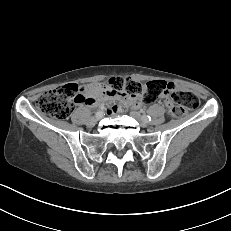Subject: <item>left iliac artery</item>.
Segmentation results:
<instances>
[{
	"instance_id": "1",
	"label": "left iliac artery",
	"mask_w": 231,
	"mask_h": 231,
	"mask_svg": "<svg viewBox=\"0 0 231 231\" xmlns=\"http://www.w3.org/2000/svg\"><path fill=\"white\" fill-rule=\"evenodd\" d=\"M144 120H146L147 122L151 121V117L149 115H145L143 116Z\"/></svg>"
}]
</instances>
